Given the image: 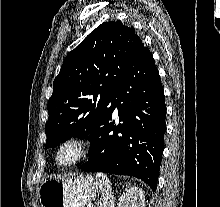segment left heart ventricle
Here are the masks:
<instances>
[{"label": "left heart ventricle", "instance_id": "b2bd125f", "mask_svg": "<svg viewBox=\"0 0 220 207\" xmlns=\"http://www.w3.org/2000/svg\"><path fill=\"white\" fill-rule=\"evenodd\" d=\"M73 156V150L70 148H67L65 150H63V152L60 155V159L65 161L70 159Z\"/></svg>", "mask_w": 220, "mask_h": 207}]
</instances>
